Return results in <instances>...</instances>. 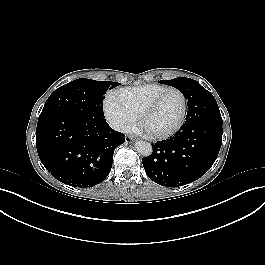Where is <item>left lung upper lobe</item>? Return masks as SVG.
<instances>
[{
  "instance_id": "left-lung-upper-lobe-1",
  "label": "left lung upper lobe",
  "mask_w": 265,
  "mask_h": 265,
  "mask_svg": "<svg viewBox=\"0 0 265 265\" xmlns=\"http://www.w3.org/2000/svg\"><path fill=\"white\" fill-rule=\"evenodd\" d=\"M160 83L171 85L184 95V97L189 101L193 90L197 88H202V86L195 80L185 77H178L172 80H161Z\"/></svg>"
}]
</instances>
